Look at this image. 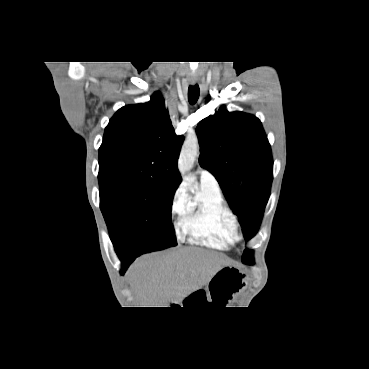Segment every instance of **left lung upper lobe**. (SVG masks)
<instances>
[{"label": "left lung upper lobe", "mask_w": 369, "mask_h": 369, "mask_svg": "<svg viewBox=\"0 0 369 369\" xmlns=\"http://www.w3.org/2000/svg\"><path fill=\"white\" fill-rule=\"evenodd\" d=\"M199 162L217 179L230 208L239 217L244 238L258 231L270 195L273 160L260 120L243 112H218L196 128ZM242 262L253 264V251L245 250Z\"/></svg>", "instance_id": "5c2ea615"}]
</instances>
